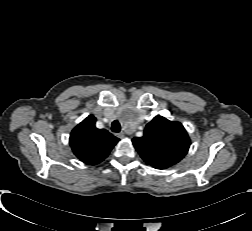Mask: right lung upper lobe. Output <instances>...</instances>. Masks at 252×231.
<instances>
[{
    "label": "right lung upper lobe",
    "mask_w": 252,
    "mask_h": 231,
    "mask_svg": "<svg viewBox=\"0 0 252 231\" xmlns=\"http://www.w3.org/2000/svg\"><path fill=\"white\" fill-rule=\"evenodd\" d=\"M95 122L89 115L72 130L69 139L73 153L88 165L102 162L119 141L107 130L96 128Z\"/></svg>",
    "instance_id": "cb5924a9"
}]
</instances>
